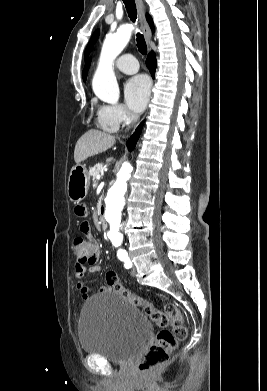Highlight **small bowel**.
<instances>
[{"instance_id": "c3829d8e", "label": "small bowel", "mask_w": 267, "mask_h": 391, "mask_svg": "<svg viewBox=\"0 0 267 391\" xmlns=\"http://www.w3.org/2000/svg\"><path fill=\"white\" fill-rule=\"evenodd\" d=\"M75 213L77 216L81 218L86 217L87 215L86 206L84 204H78L75 207ZM80 230L87 238L92 237L91 227L87 221H83L81 223ZM99 269H100L99 266L95 263L89 266H79V265L75 266V276L77 278L76 286L79 292L81 293L82 298L85 300L89 298V291H90L89 287L85 284V276L90 273H96L99 271ZM107 290L108 288L103 286L100 288L99 291L105 292Z\"/></svg>"}]
</instances>
